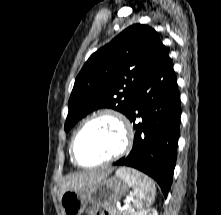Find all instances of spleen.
Instances as JSON below:
<instances>
[{
    "instance_id": "spleen-1",
    "label": "spleen",
    "mask_w": 221,
    "mask_h": 215,
    "mask_svg": "<svg viewBox=\"0 0 221 215\" xmlns=\"http://www.w3.org/2000/svg\"><path fill=\"white\" fill-rule=\"evenodd\" d=\"M117 176H123L130 186H133L134 193L132 204L137 210H144L148 208L155 200L156 188L153 181L149 177L139 178L129 174L124 173L122 170L116 172ZM135 215V214H134Z\"/></svg>"
}]
</instances>
